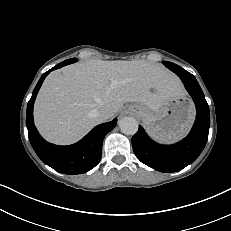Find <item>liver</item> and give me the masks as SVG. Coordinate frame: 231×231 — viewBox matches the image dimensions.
Returning a JSON list of instances; mask_svg holds the SVG:
<instances>
[{
    "instance_id": "liver-1",
    "label": "liver",
    "mask_w": 231,
    "mask_h": 231,
    "mask_svg": "<svg viewBox=\"0 0 231 231\" xmlns=\"http://www.w3.org/2000/svg\"><path fill=\"white\" fill-rule=\"evenodd\" d=\"M182 93L177 77L162 65L90 60L48 75L36 98L34 120L46 140L72 144L101 123L100 110L113 117L125 103L138 102L156 111Z\"/></svg>"
}]
</instances>
